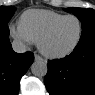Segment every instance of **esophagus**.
<instances>
[{
    "instance_id": "34e87169",
    "label": "esophagus",
    "mask_w": 95,
    "mask_h": 95,
    "mask_svg": "<svg viewBox=\"0 0 95 95\" xmlns=\"http://www.w3.org/2000/svg\"><path fill=\"white\" fill-rule=\"evenodd\" d=\"M34 59L35 61H42L43 58L41 56H39L38 54H34Z\"/></svg>"
}]
</instances>
